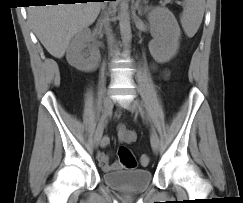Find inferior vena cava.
Instances as JSON below:
<instances>
[{"mask_svg":"<svg viewBox=\"0 0 243 203\" xmlns=\"http://www.w3.org/2000/svg\"><path fill=\"white\" fill-rule=\"evenodd\" d=\"M109 17H108V14L105 13V16L102 20L104 26H105V31H106V34H107V38H108V44H109V47H110V52H111V55L114 53V49H113V44H114V38L111 34V29H110V26H109Z\"/></svg>","mask_w":243,"mask_h":203,"instance_id":"602c4592","label":"inferior vena cava"}]
</instances>
